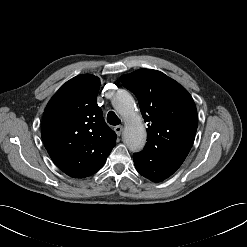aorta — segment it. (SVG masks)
Masks as SVG:
<instances>
[{
  "instance_id": "1",
  "label": "aorta",
  "mask_w": 247,
  "mask_h": 247,
  "mask_svg": "<svg viewBox=\"0 0 247 247\" xmlns=\"http://www.w3.org/2000/svg\"><path fill=\"white\" fill-rule=\"evenodd\" d=\"M113 107L125 120L124 143L132 152L141 151L147 134L142 117L136 112L133 97L126 91H119L113 99Z\"/></svg>"
}]
</instances>
